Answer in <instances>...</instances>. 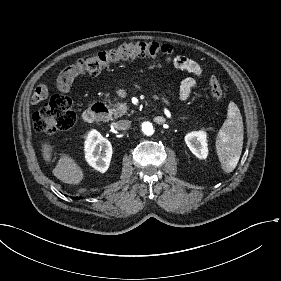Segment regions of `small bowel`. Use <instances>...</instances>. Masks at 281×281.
I'll use <instances>...</instances> for the list:
<instances>
[{
	"label": "small bowel",
	"instance_id": "1",
	"mask_svg": "<svg viewBox=\"0 0 281 281\" xmlns=\"http://www.w3.org/2000/svg\"><path fill=\"white\" fill-rule=\"evenodd\" d=\"M169 63L172 64L177 69L187 71L193 74L195 77H200L202 75L201 66L195 62L184 56H176L169 58ZM79 75L78 69L76 65H72L70 67L65 68L58 77V89L67 93L70 90V87L74 81V79ZM197 82L194 77L186 78L180 85L179 97L181 100H187L192 94L193 90L196 88ZM49 95L45 87L40 86L37 88L35 95L31 97V102L33 104L43 103L47 101Z\"/></svg>",
	"mask_w": 281,
	"mask_h": 281
}]
</instances>
